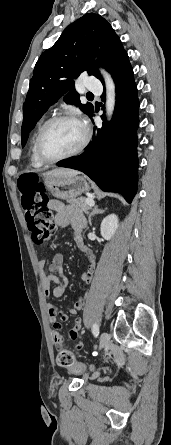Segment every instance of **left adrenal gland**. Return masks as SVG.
<instances>
[{
    "label": "left adrenal gland",
    "mask_w": 171,
    "mask_h": 445,
    "mask_svg": "<svg viewBox=\"0 0 171 445\" xmlns=\"http://www.w3.org/2000/svg\"><path fill=\"white\" fill-rule=\"evenodd\" d=\"M103 212H104V210H101V209L98 208V206H95V207L92 209V212L89 214V217H88L89 224L92 225V223H91V218H92L93 215H95V214H101V213H103Z\"/></svg>",
    "instance_id": "left-adrenal-gland-1"
}]
</instances>
